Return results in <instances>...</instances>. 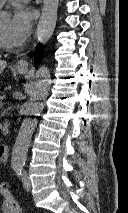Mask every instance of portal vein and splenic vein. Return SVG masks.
Returning a JSON list of instances; mask_svg holds the SVG:
<instances>
[{
    "instance_id": "1",
    "label": "portal vein and splenic vein",
    "mask_w": 128,
    "mask_h": 213,
    "mask_svg": "<svg viewBox=\"0 0 128 213\" xmlns=\"http://www.w3.org/2000/svg\"><path fill=\"white\" fill-rule=\"evenodd\" d=\"M3 106V103L0 101V107H2Z\"/></svg>"
}]
</instances>
